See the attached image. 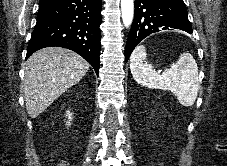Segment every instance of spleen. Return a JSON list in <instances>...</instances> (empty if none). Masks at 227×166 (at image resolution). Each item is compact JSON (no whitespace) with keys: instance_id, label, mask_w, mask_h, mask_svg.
<instances>
[{"instance_id":"obj_1","label":"spleen","mask_w":227,"mask_h":166,"mask_svg":"<svg viewBox=\"0 0 227 166\" xmlns=\"http://www.w3.org/2000/svg\"><path fill=\"white\" fill-rule=\"evenodd\" d=\"M145 59V46H137L130 57V70L137 83L173 92L184 107L195 103L199 89L198 66L190 53H182L162 74L155 72L152 65L144 63Z\"/></svg>"}]
</instances>
